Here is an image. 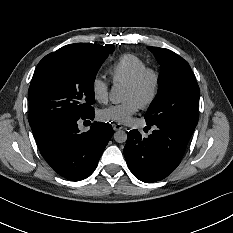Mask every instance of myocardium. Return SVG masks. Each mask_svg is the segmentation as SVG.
I'll use <instances>...</instances> for the list:
<instances>
[{"mask_svg": "<svg viewBox=\"0 0 233 233\" xmlns=\"http://www.w3.org/2000/svg\"><path fill=\"white\" fill-rule=\"evenodd\" d=\"M151 76L153 79V85L151 92L147 99L142 103L143 107L151 105L157 98L160 85H161V74L157 68L154 67H144L141 69L130 81L125 84V87L136 89L139 88L146 77Z\"/></svg>", "mask_w": 233, "mask_h": 233, "instance_id": "f54148a6", "label": "myocardium"}]
</instances>
